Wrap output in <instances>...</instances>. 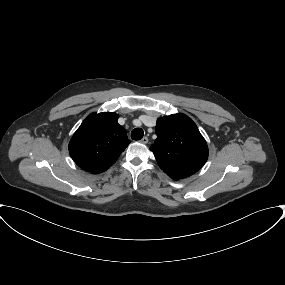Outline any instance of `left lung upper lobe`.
I'll use <instances>...</instances> for the list:
<instances>
[{
	"label": "left lung upper lobe",
	"mask_w": 285,
	"mask_h": 285,
	"mask_svg": "<svg viewBox=\"0 0 285 285\" xmlns=\"http://www.w3.org/2000/svg\"><path fill=\"white\" fill-rule=\"evenodd\" d=\"M150 150L160 168L179 180L196 173L207 161L208 146L196 124L184 114L160 117Z\"/></svg>",
	"instance_id": "1"
}]
</instances>
